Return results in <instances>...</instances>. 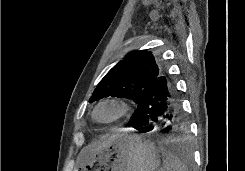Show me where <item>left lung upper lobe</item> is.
Wrapping results in <instances>:
<instances>
[{"instance_id": "1", "label": "left lung upper lobe", "mask_w": 245, "mask_h": 171, "mask_svg": "<svg viewBox=\"0 0 245 171\" xmlns=\"http://www.w3.org/2000/svg\"><path fill=\"white\" fill-rule=\"evenodd\" d=\"M163 73L152 52L133 51L119 61L99 82L89 102L103 97H121L139 102L143 90Z\"/></svg>"}]
</instances>
